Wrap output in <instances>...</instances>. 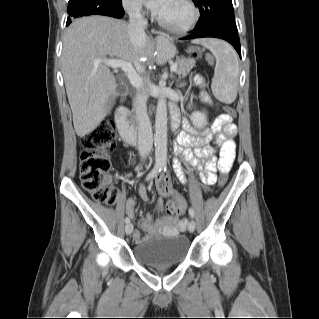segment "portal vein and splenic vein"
Masks as SVG:
<instances>
[{
	"instance_id": "portal-vein-and-splenic-vein-1",
	"label": "portal vein and splenic vein",
	"mask_w": 319,
	"mask_h": 319,
	"mask_svg": "<svg viewBox=\"0 0 319 319\" xmlns=\"http://www.w3.org/2000/svg\"><path fill=\"white\" fill-rule=\"evenodd\" d=\"M95 64L104 63L106 66L111 67L113 69L121 68L128 76L130 83L136 88H142L143 83L141 80L137 78V74L132 66V64L125 60L119 59H102L98 58L94 60ZM177 69V63L171 65V72H175Z\"/></svg>"
}]
</instances>
